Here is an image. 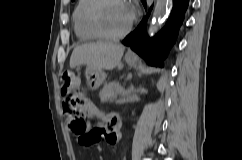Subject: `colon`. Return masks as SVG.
<instances>
[{"label":"colon","instance_id":"colon-1","mask_svg":"<svg viewBox=\"0 0 242 160\" xmlns=\"http://www.w3.org/2000/svg\"><path fill=\"white\" fill-rule=\"evenodd\" d=\"M61 94L66 98L65 113L73 119V129L79 135L80 143L91 146L100 136V130L90 129L85 118L91 114L92 109L85 101L79 82L73 74L65 70L60 75Z\"/></svg>","mask_w":242,"mask_h":160}]
</instances>
